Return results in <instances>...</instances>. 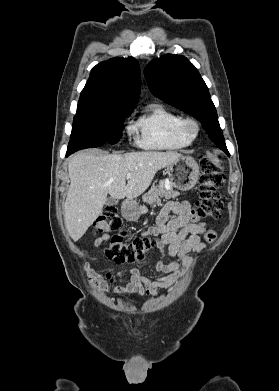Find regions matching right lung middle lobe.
I'll return each mask as SVG.
<instances>
[{"label": "right lung middle lobe", "instance_id": "obj_1", "mask_svg": "<svg viewBox=\"0 0 279 391\" xmlns=\"http://www.w3.org/2000/svg\"><path fill=\"white\" fill-rule=\"evenodd\" d=\"M133 109H102L77 112L72 127L67 154L84 148H95L106 142L117 143L123 131L122 123Z\"/></svg>", "mask_w": 279, "mask_h": 391}]
</instances>
